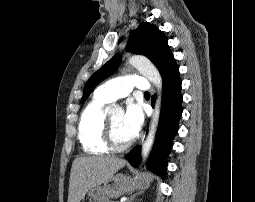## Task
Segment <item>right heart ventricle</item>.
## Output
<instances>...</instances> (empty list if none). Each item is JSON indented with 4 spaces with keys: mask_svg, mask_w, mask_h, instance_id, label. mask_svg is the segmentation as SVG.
Listing matches in <instances>:
<instances>
[{
    "mask_svg": "<svg viewBox=\"0 0 255 202\" xmlns=\"http://www.w3.org/2000/svg\"><path fill=\"white\" fill-rule=\"evenodd\" d=\"M109 102L97 94L82 112L79 122V138L84 151L90 154H105L110 150L103 141L106 117L105 106Z\"/></svg>",
    "mask_w": 255,
    "mask_h": 202,
    "instance_id": "1",
    "label": "right heart ventricle"
}]
</instances>
